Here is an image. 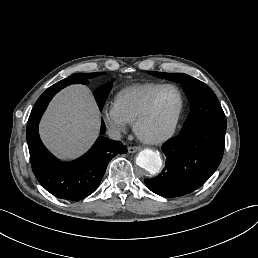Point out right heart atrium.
<instances>
[{
	"label": "right heart atrium",
	"instance_id": "right-heart-atrium-1",
	"mask_svg": "<svg viewBox=\"0 0 258 258\" xmlns=\"http://www.w3.org/2000/svg\"><path fill=\"white\" fill-rule=\"evenodd\" d=\"M105 124L112 129L123 131L126 129L128 122L122 116L115 104L108 105L103 111Z\"/></svg>",
	"mask_w": 258,
	"mask_h": 258
}]
</instances>
